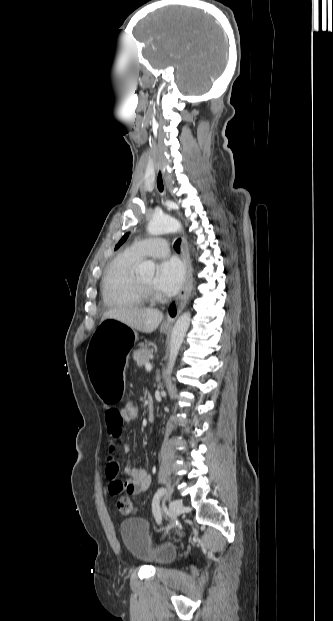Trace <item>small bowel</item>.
<instances>
[{
  "label": "small bowel",
  "mask_w": 333,
  "mask_h": 621,
  "mask_svg": "<svg viewBox=\"0 0 333 621\" xmlns=\"http://www.w3.org/2000/svg\"><path fill=\"white\" fill-rule=\"evenodd\" d=\"M107 432L112 440L121 437L123 428L127 421L125 420L123 411L116 407H111L106 411L105 415ZM125 452H129L128 445H124ZM112 448L110 449V452ZM107 475V490L112 497H122L124 495H138L145 492L151 483L150 475L142 468H137L131 464H126L124 473L127 479H121L120 465L117 459L110 453L105 462Z\"/></svg>",
  "instance_id": "1"
}]
</instances>
